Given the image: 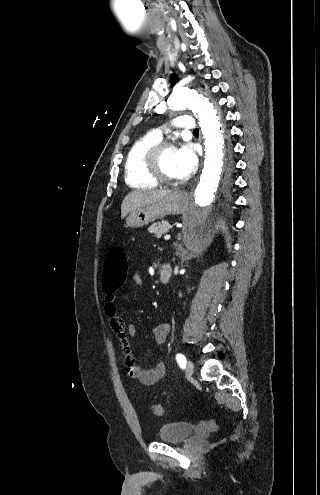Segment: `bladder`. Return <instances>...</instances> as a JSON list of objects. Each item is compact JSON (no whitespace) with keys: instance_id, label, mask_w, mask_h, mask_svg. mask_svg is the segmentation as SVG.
Segmentation results:
<instances>
[{"instance_id":"bladder-1","label":"bladder","mask_w":320,"mask_h":495,"mask_svg":"<svg viewBox=\"0 0 320 495\" xmlns=\"http://www.w3.org/2000/svg\"><path fill=\"white\" fill-rule=\"evenodd\" d=\"M195 426L191 422L179 421L163 424L157 433L160 441L166 443H179L187 439L193 432Z\"/></svg>"}]
</instances>
